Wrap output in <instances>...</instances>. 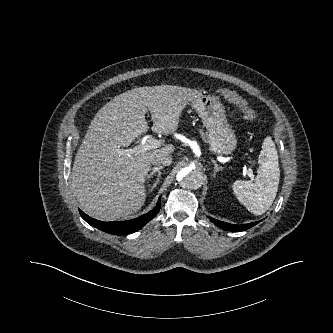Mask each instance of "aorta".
<instances>
[{
	"label": "aorta",
	"mask_w": 333,
	"mask_h": 333,
	"mask_svg": "<svg viewBox=\"0 0 333 333\" xmlns=\"http://www.w3.org/2000/svg\"><path fill=\"white\" fill-rule=\"evenodd\" d=\"M177 180L183 188L195 190L202 184V175L192 167H185L178 172Z\"/></svg>",
	"instance_id": "obj_1"
}]
</instances>
